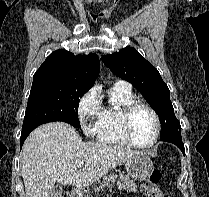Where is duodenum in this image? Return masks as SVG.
Here are the masks:
<instances>
[{
  "mask_svg": "<svg viewBox=\"0 0 209 197\" xmlns=\"http://www.w3.org/2000/svg\"><path fill=\"white\" fill-rule=\"evenodd\" d=\"M75 193L76 195H80L82 193V189L80 187H76Z\"/></svg>",
  "mask_w": 209,
  "mask_h": 197,
  "instance_id": "duodenum-1",
  "label": "duodenum"
}]
</instances>
